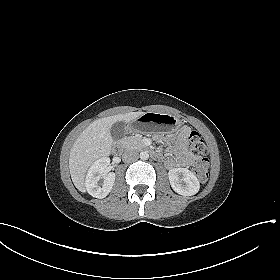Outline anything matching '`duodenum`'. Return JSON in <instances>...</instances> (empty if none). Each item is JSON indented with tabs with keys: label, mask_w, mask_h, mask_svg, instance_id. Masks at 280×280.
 I'll list each match as a JSON object with an SVG mask.
<instances>
[{
	"label": "duodenum",
	"mask_w": 280,
	"mask_h": 280,
	"mask_svg": "<svg viewBox=\"0 0 280 280\" xmlns=\"http://www.w3.org/2000/svg\"><path fill=\"white\" fill-rule=\"evenodd\" d=\"M123 148H124V143H123V142H122V143H118V144L116 145V150H117V151H121V150H123ZM144 149L147 150L146 147H145ZM151 156H152L154 159H156V160H161V159H162V155H161L160 153H158V152H155V151H152V152H151Z\"/></svg>",
	"instance_id": "duodenum-1"
}]
</instances>
